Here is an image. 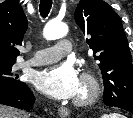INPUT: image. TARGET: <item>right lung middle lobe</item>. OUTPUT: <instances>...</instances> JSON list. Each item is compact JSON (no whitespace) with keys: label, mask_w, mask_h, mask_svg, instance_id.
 <instances>
[{"label":"right lung middle lobe","mask_w":133,"mask_h":118,"mask_svg":"<svg viewBox=\"0 0 133 118\" xmlns=\"http://www.w3.org/2000/svg\"><path fill=\"white\" fill-rule=\"evenodd\" d=\"M14 62H0V88L14 87L22 82L16 80L18 75L14 73Z\"/></svg>","instance_id":"right-lung-middle-lobe-1"}]
</instances>
